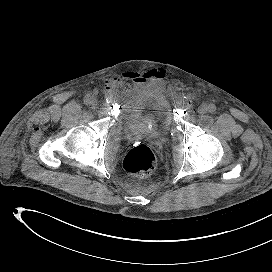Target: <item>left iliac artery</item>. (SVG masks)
Here are the masks:
<instances>
[{
	"instance_id": "left-iliac-artery-1",
	"label": "left iliac artery",
	"mask_w": 272,
	"mask_h": 272,
	"mask_svg": "<svg viewBox=\"0 0 272 272\" xmlns=\"http://www.w3.org/2000/svg\"><path fill=\"white\" fill-rule=\"evenodd\" d=\"M208 111H209L210 113H214V112L216 111V106H215L214 104H210V105L208 106Z\"/></svg>"
}]
</instances>
